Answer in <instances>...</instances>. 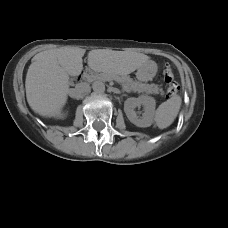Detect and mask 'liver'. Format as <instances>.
Returning a JSON list of instances; mask_svg holds the SVG:
<instances>
[{"label": "liver", "mask_w": 228, "mask_h": 228, "mask_svg": "<svg viewBox=\"0 0 228 228\" xmlns=\"http://www.w3.org/2000/svg\"><path fill=\"white\" fill-rule=\"evenodd\" d=\"M85 49L60 48L43 51L33 57L29 66L25 88L31 109L43 117L60 113L69 93V75L79 76L83 70ZM150 61L147 55L125 51L92 50L88 66L106 76H126Z\"/></svg>", "instance_id": "liver-1"}]
</instances>
